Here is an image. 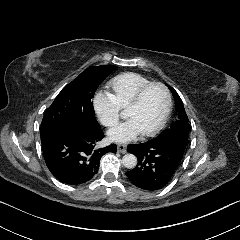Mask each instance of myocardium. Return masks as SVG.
Listing matches in <instances>:
<instances>
[{"mask_svg":"<svg viewBox=\"0 0 240 240\" xmlns=\"http://www.w3.org/2000/svg\"><path fill=\"white\" fill-rule=\"evenodd\" d=\"M152 87H158L163 91V93H164V110H163V114H162L160 121L154 128H152L149 131L141 132V134L145 137L154 136L164 128V126L168 120L171 105H172L171 94H170L169 89L162 83L150 82V83L142 86L141 88H139V90L136 92V94L133 97V99L131 100V102L124 108V112H123V114H124V113L130 112V111L136 109L140 105L142 98H143L144 94L146 93V91Z\"/></svg>","mask_w":240,"mask_h":240,"instance_id":"1","label":"myocardium"}]
</instances>
